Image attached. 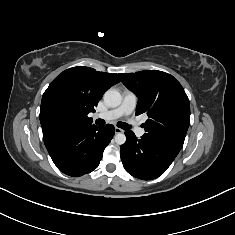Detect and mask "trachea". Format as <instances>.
<instances>
[{"label":"trachea","mask_w":235,"mask_h":235,"mask_svg":"<svg viewBox=\"0 0 235 235\" xmlns=\"http://www.w3.org/2000/svg\"><path fill=\"white\" fill-rule=\"evenodd\" d=\"M95 123H96L97 125L101 126V125H104V124H105V121L102 120V119H97V120L95 121ZM117 126L120 127V128H122V129H124V130H128V129L131 128V126H129V125H128L127 123H125V122H118V123H117Z\"/></svg>","instance_id":"obj_1"}]
</instances>
